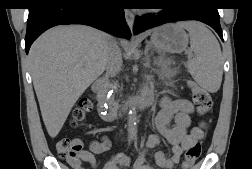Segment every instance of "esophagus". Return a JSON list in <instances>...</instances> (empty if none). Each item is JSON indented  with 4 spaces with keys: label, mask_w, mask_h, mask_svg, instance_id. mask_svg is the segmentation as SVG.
I'll use <instances>...</instances> for the list:
<instances>
[{
    "label": "esophagus",
    "mask_w": 252,
    "mask_h": 169,
    "mask_svg": "<svg viewBox=\"0 0 252 169\" xmlns=\"http://www.w3.org/2000/svg\"><path fill=\"white\" fill-rule=\"evenodd\" d=\"M125 18H126L129 28L132 30L134 26V20H135V16L133 12L130 10H125Z\"/></svg>",
    "instance_id": "1"
}]
</instances>
